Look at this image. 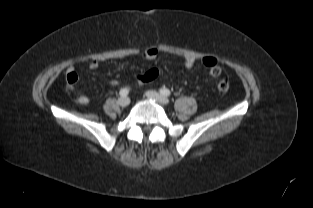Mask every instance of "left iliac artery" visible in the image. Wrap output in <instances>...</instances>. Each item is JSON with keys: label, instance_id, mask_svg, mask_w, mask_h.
<instances>
[{"label": "left iliac artery", "instance_id": "left-iliac-artery-1", "mask_svg": "<svg viewBox=\"0 0 313 208\" xmlns=\"http://www.w3.org/2000/svg\"><path fill=\"white\" fill-rule=\"evenodd\" d=\"M160 93H161L162 95H164V96H170V94H171L170 90L167 89V88H161V89H160Z\"/></svg>", "mask_w": 313, "mask_h": 208}]
</instances>
